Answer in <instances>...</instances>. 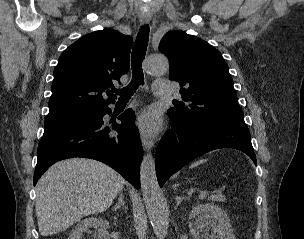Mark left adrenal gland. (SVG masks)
<instances>
[{
    "instance_id": "1",
    "label": "left adrenal gland",
    "mask_w": 304,
    "mask_h": 239,
    "mask_svg": "<svg viewBox=\"0 0 304 239\" xmlns=\"http://www.w3.org/2000/svg\"><path fill=\"white\" fill-rule=\"evenodd\" d=\"M186 199L184 196H176V206L175 208L177 209L179 204L181 203L182 200Z\"/></svg>"
}]
</instances>
